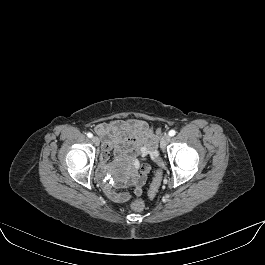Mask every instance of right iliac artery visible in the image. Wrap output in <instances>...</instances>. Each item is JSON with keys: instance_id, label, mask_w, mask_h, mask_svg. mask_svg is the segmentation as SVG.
Masks as SVG:
<instances>
[{"instance_id": "1", "label": "right iliac artery", "mask_w": 265, "mask_h": 265, "mask_svg": "<svg viewBox=\"0 0 265 265\" xmlns=\"http://www.w3.org/2000/svg\"><path fill=\"white\" fill-rule=\"evenodd\" d=\"M87 136H88L89 138H92L93 134L89 132V133H87Z\"/></svg>"}]
</instances>
